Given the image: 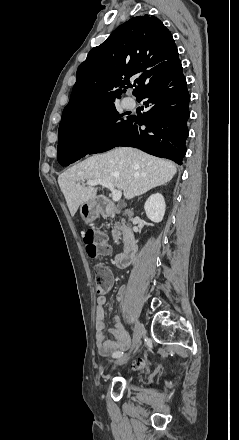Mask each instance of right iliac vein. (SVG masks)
Wrapping results in <instances>:
<instances>
[{
  "label": "right iliac vein",
  "instance_id": "obj_1",
  "mask_svg": "<svg viewBox=\"0 0 239 440\" xmlns=\"http://www.w3.org/2000/svg\"><path fill=\"white\" fill-rule=\"evenodd\" d=\"M145 333V328L144 325L142 323H136L135 328H134V336H133V343H132V350L137 346V344L140 342L142 336ZM128 359L127 355L120 357L117 361L116 364H120L124 361H126ZM109 378V376L107 377Z\"/></svg>",
  "mask_w": 239,
  "mask_h": 440
}]
</instances>
